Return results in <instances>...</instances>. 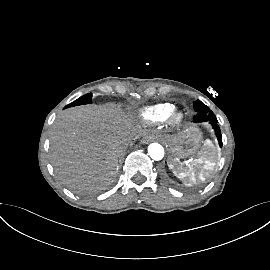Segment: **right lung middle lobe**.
I'll return each mask as SVG.
<instances>
[{
  "label": "right lung middle lobe",
  "instance_id": "1",
  "mask_svg": "<svg viewBox=\"0 0 270 270\" xmlns=\"http://www.w3.org/2000/svg\"><path fill=\"white\" fill-rule=\"evenodd\" d=\"M91 99H92V93H88V94L78 98L74 102L68 104L65 108L77 106V105H82V104H89V103H91Z\"/></svg>",
  "mask_w": 270,
  "mask_h": 270
}]
</instances>
